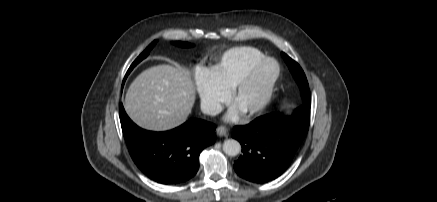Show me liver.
I'll return each mask as SVG.
<instances>
[{
  "label": "liver",
  "instance_id": "1",
  "mask_svg": "<svg viewBox=\"0 0 437 202\" xmlns=\"http://www.w3.org/2000/svg\"><path fill=\"white\" fill-rule=\"evenodd\" d=\"M194 102L190 72L164 64L148 68L135 78L127 90L124 108L138 126L165 131L184 123Z\"/></svg>",
  "mask_w": 437,
  "mask_h": 202
}]
</instances>
